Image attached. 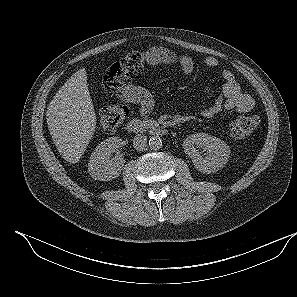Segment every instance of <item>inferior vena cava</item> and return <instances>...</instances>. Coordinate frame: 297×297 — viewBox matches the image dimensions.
Masks as SVG:
<instances>
[{"label":"inferior vena cava","mask_w":297,"mask_h":297,"mask_svg":"<svg viewBox=\"0 0 297 297\" xmlns=\"http://www.w3.org/2000/svg\"><path fill=\"white\" fill-rule=\"evenodd\" d=\"M133 147L137 151H143L147 147V137L142 134H137L133 139Z\"/></svg>","instance_id":"inferior-vena-cava-1"}]
</instances>
